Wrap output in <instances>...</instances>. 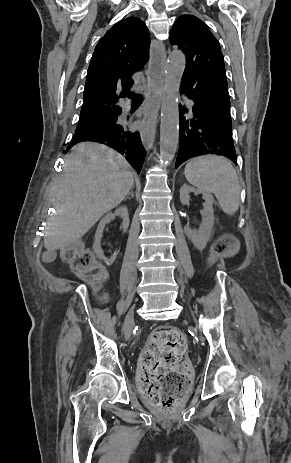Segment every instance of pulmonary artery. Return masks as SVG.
Segmentation results:
<instances>
[{"mask_svg":"<svg viewBox=\"0 0 291 463\" xmlns=\"http://www.w3.org/2000/svg\"><path fill=\"white\" fill-rule=\"evenodd\" d=\"M187 103H188L189 107L191 108L192 102L190 100H187Z\"/></svg>","mask_w":291,"mask_h":463,"instance_id":"1","label":"pulmonary artery"}]
</instances>
